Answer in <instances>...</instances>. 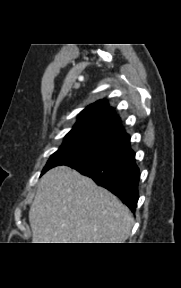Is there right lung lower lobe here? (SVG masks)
<instances>
[{
  "mask_svg": "<svg viewBox=\"0 0 181 288\" xmlns=\"http://www.w3.org/2000/svg\"><path fill=\"white\" fill-rule=\"evenodd\" d=\"M68 166L91 177L98 185L111 191L135 212L139 198V169L135 153L130 150L121 155L100 160L79 161Z\"/></svg>",
  "mask_w": 181,
  "mask_h": 288,
  "instance_id": "obj_1",
  "label": "right lung lower lobe"
}]
</instances>
